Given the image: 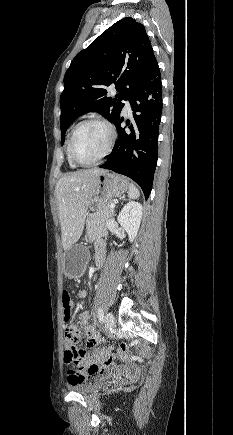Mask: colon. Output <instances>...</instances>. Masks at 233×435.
Returning <instances> with one entry per match:
<instances>
[{"label": "colon", "mask_w": 233, "mask_h": 435, "mask_svg": "<svg viewBox=\"0 0 233 435\" xmlns=\"http://www.w3.org/2000/svg\"><path fill=\"white\" fill-rule=\"evenodd\" d=\"M61 303L63 306V317L65 321H69L72 316V300L69 292L64 289L62 291ZM65 339L67 341V347L64 352V362L68 366H78L83 359V353L81 349L78 348L77 343L79 341L80 332L78 328L74 325H66L64 329ZM112 350L107 349L101 352H95L93 354V361L89 364L88 372H98L102 366L104 357L109 354Z\"/></svg>", "instance_id": "5ec220e1"}]
</instances>
